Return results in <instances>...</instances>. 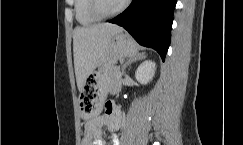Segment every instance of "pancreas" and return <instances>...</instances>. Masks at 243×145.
Wrapping results in <instances>:
<instances>
[{
	"label": "pancreas",
	"mask_w": 243,
	"mask_h": 145,
	"mask_svg": "<svg viewBox=\"0 0 243 145\" xmlns=\"http://www.w3.org/2000/svg\"><path fill=\"white\" fill-rule=\"evenodd\" d=\"M111 81L114 89H118L121 86V77L119 76V71L117 69L112 70Z\"/></svg>",
	"instance_id": "pancreas-1"
}]
</instances>
